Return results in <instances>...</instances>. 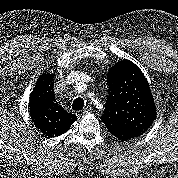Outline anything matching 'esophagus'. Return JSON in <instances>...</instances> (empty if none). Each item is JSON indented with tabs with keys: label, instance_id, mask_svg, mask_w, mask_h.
I'll use <instances>...</instances> for the list:
<instances>
[{
	"label": "esophagus",
	"instance_id": "34e87169",
	"mask_svg": "<svg viewBox=\"0 0 178 178\" xmlns=\"http://www.w3.org/2000/svg\"><path fill=\"white\" fill-rule=\"evenodd\" d=\"M89 112V108H85V109H83V110H78L77 112H76V115L77 116H82V115H84V114H86V113H88Z\"/></svg>",
	"mask_w": 178,
	"mask_h": 178
}]
</instances>
